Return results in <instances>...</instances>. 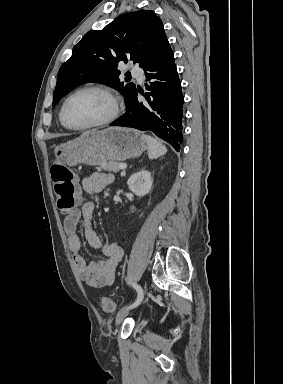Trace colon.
Instances as JSON below:
<instances>
[{
  "mask_svg": "<svg viewBox=\"0 0 283 384\" xmlns=\"http://www.w3.org/2000/svg\"><path fill=\"white\" fill-rule=\"evenodd\" d=\"M51 176L57 196V206L62 213L69 214L78 201V191L71 170L56 162L51 167ZM101 307L105 312H113L114 302L110 298H102Z\"/></svg>",
  "mask_w": 283,
  "mask_h": 384,
  "instance_id": "1",
  "label": "colon"
}]
</instances>
